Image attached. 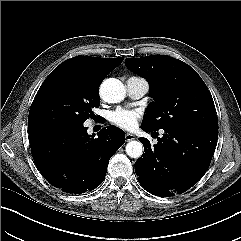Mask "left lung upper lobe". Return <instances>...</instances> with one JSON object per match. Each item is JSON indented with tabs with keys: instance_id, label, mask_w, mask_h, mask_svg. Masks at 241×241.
<instances>
[{
	"instance_id": "obj_1",
	"label": "left lung upper lobe",
	"mask_w": 241,
	"mask_h": 241,
	"mask_svg": "<svg viewBox=\"0 0 241 241\" xmlns=\"http://www.w3.org/2000/svg\"><path fill=\"white\" fill-rule=\"evenodd\" d=\"M125 65L150 84L152 102L141 127H201L218 131L215 105L198 73L186 63L165 55L127 58Z\"/></svg>"
}]
</instances>
